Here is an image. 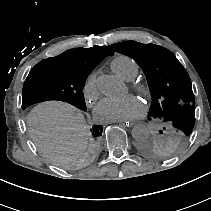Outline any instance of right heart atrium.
<instances>
[{
    "mask_svg": "<svg viewBox=\"0 0 211 211\" xmlns=\"http://www.w3.org/2000/svg\"><path fill=\"white\" fill-rule=\"evenodd\" d=\"M84 99L87 103L92 104L100 97L101 91L98 84V75L92 72L85 80L82 88Z\"/></svg>",
    "mask_w": 211,
    "mask_h": 211,
    "instance_id": "d8ad5b80",
    "label": "right heart atrium"
}]
</instances>
